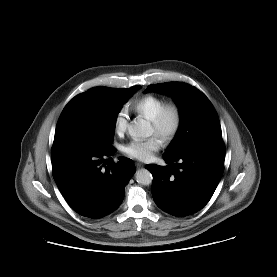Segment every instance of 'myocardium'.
Listing matches in <instances>:
<instances>
[{"label": "myocardium", "mask_w": 277, "mask_h": 277, "mask_svg": "<svg viewBox=\"0 0 277 277\" xmlns=\"http://www.w3.org/2000/svg\"><path fill=\"white\" fill-rule=\"evenodd\" d=\"M183 122L180 106L175 102L166 103L157 116L151 120L155 134L165 143H171L179 134Z\"/></svg>", "instance_id": "1"}]
</instances>
